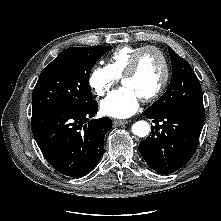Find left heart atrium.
Wrapping results in <instances>:
<instances>
[{
    "mask_svg": "<svg viewBox=\"0 0 221 221\" xmlns=\"http://www.w3.org/2000/svg\"><path fill=\"white\" fill-rule=\"evenodd\" d=\"M139 96L128 86H123L113 91L100 104L104 115L114 118H127L139 108Z\"/></svg>",
    "mask_w": 221,
    "mask_h": 221,
    "instance_id": "obj_1",
    "label": "left heart atrium"
}]
</instances>
